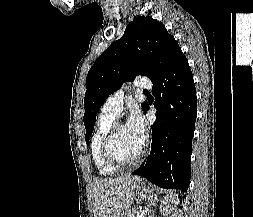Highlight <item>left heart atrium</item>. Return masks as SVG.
I'll return each instance as SVG.
<instances>
[{
    "label": "left heart atrium",
    "mask_w": 253,
    "mask_h": 217,
    "mask_svg": "<svg viewBox=\"0 0 253 217\" xmlns=\"http://www.w3.org/2000/svg\"><path fill=\"white\" fill-rule=\"evenodd\" d=\"M135 134L144 139L147 125L143 115L138 110H133L126 124Z\"/></svg>",
    "instance_id": "obj_1"
}]
</instances>
